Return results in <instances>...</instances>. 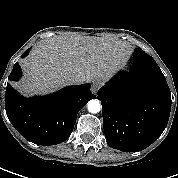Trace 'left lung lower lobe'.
Segmentation results:
<instances>
[{
	"label": "left lung lower lobe",
	"instance_id": "left-lung-lower-lobe-1",
	"mask_svg": "<svg viewBox=\"0 0 178 178\" xmlns=\"http://www.w3.org/2000/svg\"><path fill=\"white\" fill-rule=\"evenodd\" d=\"M107 143L123 152L151 145L167 126L171 93L151 56L133 59L129 72H119L98 91Z\"/></svg>",
	"mask_w": 178,
	"mask_h": 178
}]
</instances>
